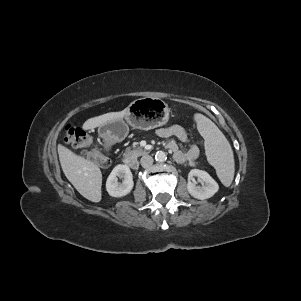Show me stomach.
Instances as JSON below:
<instances>
[{"label": "stomach", "instance_id": "obj_1", "mask_svg": "<svg viewBox=\"0 0 301 301\" xmlns=\"http://www.w3.org/2000/svg\"><path fill=\"white\" fill-rule=\"evenodd\" d=\"M128 114L119 120L99 127V134L113 142L121 141L128 134V124L133 128L149 130L165 125L169 121V109L158 98L144 97L128 106ZM125 119V120H124Z\"/></svg>", "mask_w": 301, "mask_h": 301}]
</instances>
